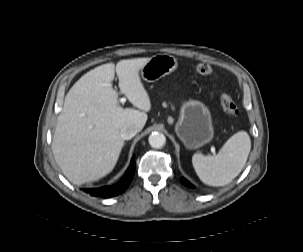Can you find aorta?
Returning <instances> with one entry per match:
<instances>
[{"label":"aorta","instance_id":"762f6f07","mask_svg":"<svg viewBox=\"0 0 303 252\" xmlns=\"http://www.w3.org/2000/svg\"><path fill=\"white\" fill-rule=\"evenodd\" d=\"M149 144L153 148H161L166 143V137L163 133L152 132L148 138Z\"/></svg>","mask_w":303,"mask_h":252}]
</instances>
